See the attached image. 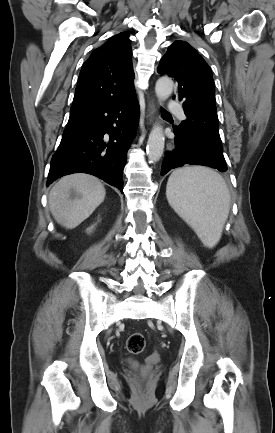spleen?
I'll use <instances>...</instances> for the list:
<instances>
[{"label": "spleen", "instance_id": "3e777b00", "mask_svg": "<svg viewBox=\"0 0 275 433\" xmlns=\"http://www.w3.org/2000/svg\"><path fill=\"white\" fill-rule=\"evenodd\" d=\"M166 196L205 246L218 243L230 209V192L219 173L202 166L177 169L168 179Z\"/></svg>", "mask_w": 275, "mask_h": 433}]
</instances>
